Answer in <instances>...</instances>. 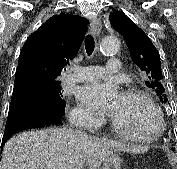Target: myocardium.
<instances>
[{
	"mask_svg": "<svg viewBox=\"0 0 177 169\" xmlns=\"http://www.w3.org/2000/svg\"><path fill=\"white\" fill-rule=\"evenodd\" d=\"M123 95L136 96V97H141V98L145 99L158 114L159 121H160V129L158 130V132H156L155 134H152V135L132 134V133L127 132L114 118L111 117L110 121H111V126H112L113 130L116 133H118L124 137L142 140V141H152V140L159 138L165 130V118H164V114H163L162 109L156 103V101L152 98V96L148 92H146L145 90L137 88V87L126 88L123 91Z\"/></svg>",
	"mask_w": 177,
	"mask_h": 169,
	"instance_id": "f54148a6",
	"label": "myocardium"
}]
</instances>
